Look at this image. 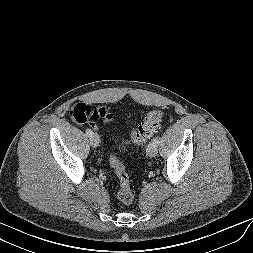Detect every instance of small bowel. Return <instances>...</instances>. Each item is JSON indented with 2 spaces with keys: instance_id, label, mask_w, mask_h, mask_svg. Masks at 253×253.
<instances>
[{
  "instance_id": "1",
  "label": "small bowel",
  "mask_w": 253,
  "mask_h": 253,
  "mask_svg": "<svg viewBox=\"0 0 253 253\" xmlns=\"http://www.w3.org/2000/svg\"><path fill=\"white\" fill-rule=\"evenodd\" d=\"M95 118L92 120L91 125L93 128L98 129L99 126L96 124L98 119H102L104 124H108L112 120V113L106 107L95 108Z\"/></svg>"
}]
</instances>
